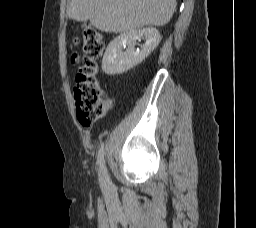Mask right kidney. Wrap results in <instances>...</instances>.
Segmentation results:
<instances>
[{
	"label": "right kidney",
	"mask_w": 256,
	"mask_h": 228,
	"mask_svg": "<svg viewBox=\"0 0 256 228\" xmlns=\"http://www.w3.org/2000/svg\"><path fill=\"white\" fill-rule=\"evenodd\" d=\"M141 39L145 43L135 50L136 41ZM160 41L159 31L153 27L122 33L109 43L102 59V70L107 75L122 74L141 63ZM125 46L127 49L123 51Z\"/></svg>",
	"instance_id": "right-kidney-1"
}]
</instances>
